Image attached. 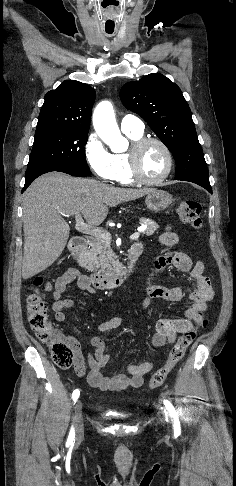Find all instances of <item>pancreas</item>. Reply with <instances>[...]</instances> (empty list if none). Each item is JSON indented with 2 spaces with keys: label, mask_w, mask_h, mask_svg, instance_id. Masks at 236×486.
<instances>
[{
  "label": "pancreas",
  "mask_w": 236,
  "mask_h": 486,
  "mask_svg": "<svg viewBox=\"0 0 236 486\" xmlns=\"http://www.w3.org/2000/svg\"><path fill=\"white\" fill-rule=\"evenodd\" d=\"M139 222L147 226L142 232L146 236L152 235L159 228L158 224L149 218H141ZM79 264L91 272H97L106 276L111 275L115 271L116 263L113 258L110 241L96 237L92 238L90 246L80 258Z\"/></svg>",
  "instance_id": "1"
}]
</instances>
